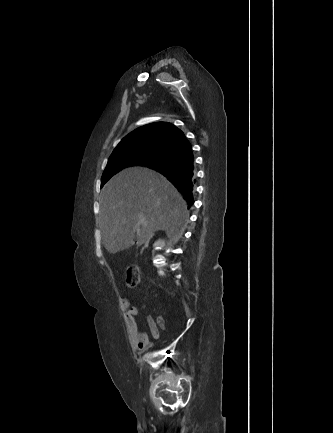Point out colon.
<instances>
[{
    "label": "colon",
    "mask_w": 333,
    "mask_h": 433,
    "mask_svg": "<svg viewBox=\"0 0 333 433\" xmlns=\"http://www.w3.org/2000/svg\"><path fill=\"white\" fill-rule=\"evenodd\" d=\"M126 282L129 287H136L141 282V272L137 265H129L126 268Z\"/></svg>",
    "instance_id": "colon-1"
}]
</instances>
